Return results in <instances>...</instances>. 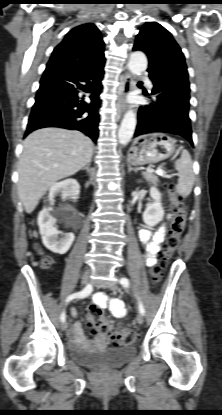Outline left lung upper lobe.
I'll list each match as a JSON object with an SVG mask.
<instances>
[{"label": "left lung upper lobe", "instance_id": "left-lung-upper-lobe-1", "mask_svg": "<svg viewBox=\"0 0 222 415\" xmlns=\"http://www.w3.org/2000/svg\"><path fill=\"white\" fill-rule=\"evenodd\" d=\"M133 49L146 53L149 68L161 64H173L187 68L179 45L172 35L156 22H147L143 25L136 37Z\"/></svg>", "mask_w": 222, "mask_h": 415}]
</instances>
